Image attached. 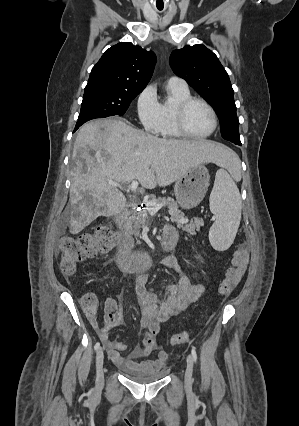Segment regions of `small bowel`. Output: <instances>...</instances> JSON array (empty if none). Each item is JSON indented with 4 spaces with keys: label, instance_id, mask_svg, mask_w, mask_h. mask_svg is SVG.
Segmentation results:
<instances>
[{
    "label": "small bowel",
    "instance_id": "small-bowel-1",
    "mask_svg": "<svg viewBox=\"0 0 299 426\" xmlns=\"http://www.w3.org/2000/svg\"><path fill=\"white\" fill-rule=\"evenodd\" d=\"M164 230L172 232L177 242L178 234L175 228L167 226ZM158 263L165 268L174 270L178 274V281L166 284L160 296L148 287L149 277L144 270L149 268L151 263L137 273L135 294L141 310L142 346L134 347L129 355L124 358L121 352L127 349V345L124 342L114 341L109 338L110 330L122 322L119 304L116 299L108 297L105 300V323L103 326H99L95 317L90 316L91 324L102 343L108 349L110 359L119 368L153 369L163 367L168 360V354L160 347L157 341L160 325L183 312L203 292V286L192 281L191 276L184 272L175 256L166 255ZM154 351H157L155 359L141 360Z\"/></svg>",
    "mask_w": 299,
    "mask_h": 426
}]
</instances>
